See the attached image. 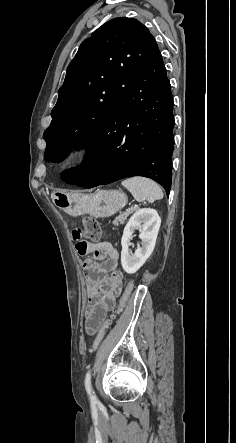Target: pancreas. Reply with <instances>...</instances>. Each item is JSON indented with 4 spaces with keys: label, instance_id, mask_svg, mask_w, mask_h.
<instances>
[{
    "label": "pancreas",
    "instance_id": "obj_1",
    "mask_svg": "<svg viewBox=\"0 0 236 443\" xmlns=\"http://www.w3.org/2000/svg\"><path fill=\"white\" fill-rule=\"evenodd\" d=\"M137 210V208H130L128 211L123 212L122 214H120L119 216H117L115 218V220L113 221V224L115 226H118L119 224H124L125 221L127 220V217L132 214L133 212H135Z\"/></svg>",
    "mask_w": 236,
    "mask_h": 443
}]
</instances>
